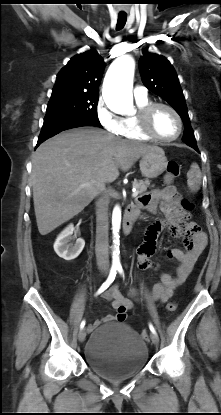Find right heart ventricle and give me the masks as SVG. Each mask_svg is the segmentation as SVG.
Instances as JSON below:
<instances>
[{"label":"right heart ventricle","mask_w":221,"mask_h":415,"mask_svg":"<svg viewBox=\"0 0 221 415\" xmlns=\"http://www.w3.org/2000/svg\"><path fill=\"white\" fill-rule=\"evenodd\" d=\"M136 103H137L138 109L140 110L142 107L150 103V101L146 97V98L136 99ZM120 135H122L123 137L127 139H135V140H143V141L150 139L140 130L137 114L123 118V127H122V132Z\"/></svg>","instance_id":"obj_1"}]
</instances>
